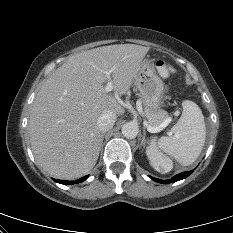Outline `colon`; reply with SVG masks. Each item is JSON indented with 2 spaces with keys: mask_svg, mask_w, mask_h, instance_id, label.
Returning <instances> with one entry per match:
<instances>
[{
  "mask_svg": "<svg viewBox=\"0 0 233 233\" xmlns=\"http://www.w3.org/2000/svg\"><path fill=\"white\" fill-rule=\"evenodd\" d=\"M156 68L160 76L163 78H169L175 72L174 69L163 59H157ZM147 155L152 165L159 172L168 173L173 169L172 159L163 154L155 140H152L147 147Z\"/></svg>",
  "mask_w": 233,
  "mask_h": 233,
  "instance_id": "obj_1",
  "label": "colon"
}]
</instances>
